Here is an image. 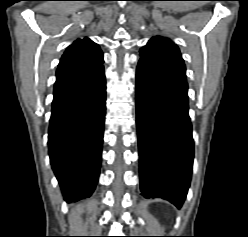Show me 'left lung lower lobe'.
<instances>
[{
    "instance_id": "obj_1",
    "label": "left lung lower lobe",
    "mask_w": 248,
    "mask_h": 237,
    "mask_svg": "<svg viewBox=\"0 0 248 237\" xmlns=\"http://www.w3.org/2000/svg\"><path fill=\"white\" fill-rule=\"evenodd\" d=\"M187 81L140 59L136 116L140 188L180 208L190 185L194 147L188 115Z\"/></svg>"
}]
</instances>
